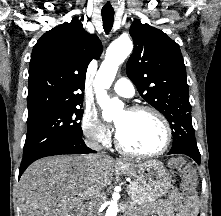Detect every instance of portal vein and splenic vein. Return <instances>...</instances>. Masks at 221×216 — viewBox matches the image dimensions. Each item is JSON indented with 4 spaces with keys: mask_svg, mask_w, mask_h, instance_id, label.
Segmentation results:
<instances>
[{
    "mask_svg": "<svg viewBox=\"0 0 221 216\" xmlns=\"http://www.w3.org/2000/svg\"><path fill=\"white\" fill-rule=\"evenodd\" d=\"M129 188H132V186H131V185H129V186H128V189H129Z\"/></svg>",
    "mask_w": 221,
    "mask_h": 216,
    "instance_id": "obj_1",
    "label": "portal vein and splenic vein"
}]
</instances>
